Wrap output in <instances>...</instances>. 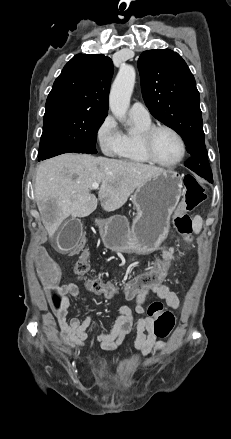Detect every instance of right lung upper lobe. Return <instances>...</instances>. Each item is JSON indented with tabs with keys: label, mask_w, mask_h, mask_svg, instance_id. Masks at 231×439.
Listing matches in <instances>:
<instances>
[{
	"label": "right lung upper lobe",
	"mask_w": 231,
	"mask_h": 439,
	"mask_svg": "<svg viewBox=\"0 0 231 439\" xmlns=\"http://www.w3.org/2000/svg\"><path fill=\"white\" fill-rule=\"evenodd\" d=\"M113 64L104 55H75L55 80L45 116L85 112L106 115Z\"/></svg>",
	"instance_id": "right-lung-upper-lobe-1"
}]
</instances>
